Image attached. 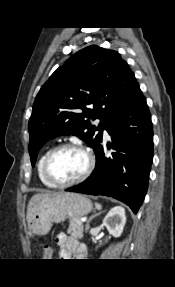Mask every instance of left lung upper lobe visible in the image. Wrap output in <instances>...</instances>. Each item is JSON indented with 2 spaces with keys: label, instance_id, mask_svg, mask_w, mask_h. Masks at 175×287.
Here are the masks:
<instances>
[{
  "label": "left lung upper lobe",
  "instance_id": "5c2ea615",
  "mask_svg": "<svg viewBox=\"0 0 175 287\" xmlns=\"http://www.w3.org/2000/svg\"><path fill=\"white\" fill-rule=\"evenodd\" d=\"M137 86L134 73L116 51L93 45L71 56L36 96L28 124L32 165L39 149L59 135L78 136L95 152L103 130L129 103ZM95 119H100L97 127L90 123Z\"/></svg>",
  "mask_w": 175,
  "mask_h": 287
}]
</instances>
